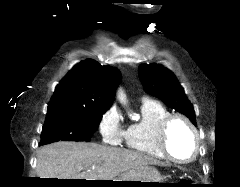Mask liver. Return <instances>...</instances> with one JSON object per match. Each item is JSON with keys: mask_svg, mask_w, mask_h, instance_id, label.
<instances>
[{"mask_svg": "<svg viewBox=\"0 0 240 187\" xmlns=\"http://www.w3.org/2000/svg\"><path fill=\"white\" fill-rule=\"evenodd\" d=\"M160 164L143 154L97 143L60 141L37 152L39 178L112 180L126 172Z\"/></svg>", "mask_w": 240, "mask_h": 187, "instance_id": "obj_1", "label": "liver"}]
</instances>
